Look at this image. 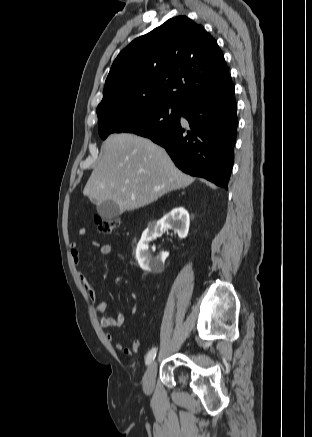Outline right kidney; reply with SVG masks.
Listing matches in <instances>:
<instances>
[{"label": "right kidney", "mask_w": 312, "mask_h": 437, "mask_svg": "<svg viewBox=\"0 0 312 437\" xmlns=\"http://www.w3.org/2000/svg\"><path fill=\"white\" fill-rule=\"evenodd\" d=\"M189 213L182 207L175 208L155 225L149 226L142 234L136 249V259L140 267L149 272H158L163 268L166 255L152 257L149 254V242L161 235L163 229L172 228L180 238H186L189 231Z\"/></svg>", "instance_id": "right-kidney-1"}]
</instances>
